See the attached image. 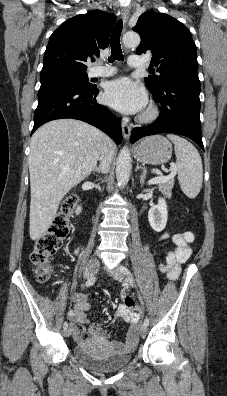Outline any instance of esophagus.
<instances>
[{
  "label": "esophagus",
  "instance_id": "obj_1",
  "mask_svg": "<svg viewBox=\"0 0 227 396\" xmlns=\"http://www.w3.org/2000/svg\"><path fill=\"white\" fill-rule=\"evenodd\" d=\"M121 15H122L124 27H126V24L128 22L129 15H130L129 7H123L122 10H121ZM122 132H123L124 139L125 140L129 139L130 134H131V127L125 121L122 122Z\"/></svg>",
  "mask_w": 227,
  "mask_h": 396
}]
</instances>
